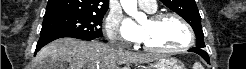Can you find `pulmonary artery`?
Returning a JSON list of instances; mask_svg holds the SVG:
<instances>
[{
	"label": "pulmonary artery",
	"mask_w": 246,
	"mask_h": 69,
	"mask_svg": "<svg viewBox=\"0 0 246 69\" xmlns=\"http://www.w3.org/2000/svg\"><path fill=\"white\" fill-rule=\"evenodd\" d=\"M139 5L142 9L148 12H154L157 9L156 1L155 0H142L139 1Z\"/></svg>",
	"instance_id": "pulmonary-artery-1"
}]
</instances>
